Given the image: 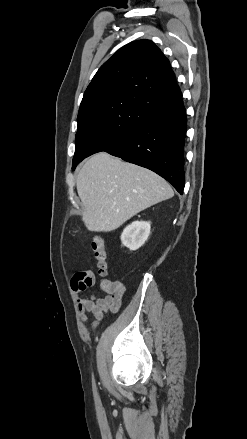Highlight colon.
Here are the masks:
<instances>
[{"mask_svg":"<svg viewBox=\"0 0 247 439\" xmlns=\"http://www.w3.org/2000/svg\"><path fill=\"white\" fill-rule=\"evenodd\" d=\"M92 258L99 275L104 276L107 272V252L104 241L100 236H93L90 242Z\"/></svg>","mask_w":247,"mask_h":439,"instance_id":"5ec220e1","label":"colon"}]
</instances>
